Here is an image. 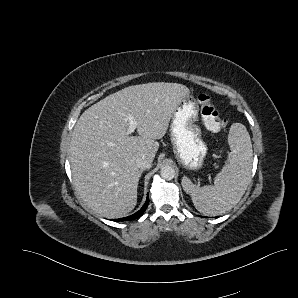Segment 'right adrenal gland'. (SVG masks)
I'll use <instances>...</instances> for the list:
<instances>
[{
  "mask_svg": "<svg viewBox=\"0 0 298 298\" xmlns=\"http://www.w3.org/2000/svg\"><path fill=\"white\" fill-rule=\"evenodd\" d=\"M143 171H144V169H141V170H140V172H139V173H140V177H141Z\"/></svg>",
  "mask_w": 298,
  "mask_h": 298,
  "instance_id": "1",
  "label": "right adrenal gland"
}]
</instances>
